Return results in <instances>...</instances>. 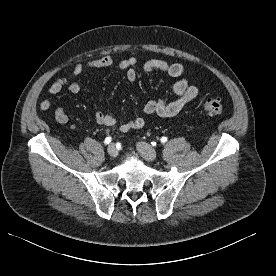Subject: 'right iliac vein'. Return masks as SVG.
<instances>
[{"instance_id": "63e3f726", "label": "right iliac vein", "mask_w": 276, "mask_h": 276, "mask_svg": "<svg viewBox=\"0 0 276 276\" xmlns=\"http://www.w3.org/2000/svg\"><path fill=\"white\" fill-rule=\"evenodd\" d=\"M107 152L111 157H116L118 155V150L115 144H110L107 148Z\"/></svg>"}]
</instances>
